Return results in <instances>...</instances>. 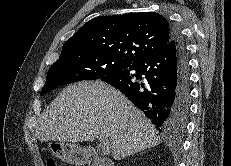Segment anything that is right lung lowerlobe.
I'll return each instance as SVG.
<instances>
[{"label":"right lung lower lobe","instance_id":"98d812e1","mask_svg":"<svg viewBox=\"0 0 231 166\" xmlns=\"http://www.w3.org/2000/svg\"><path fill=\"white\" fill-rule=\"evenodd\" d=\"M171 26L172 38L165 48L100 78L119 89L166 135L184 131L190 103L188 54L180 31Z\"/></svg>","mask_w":231,"mask_h":166}]
</instances>
